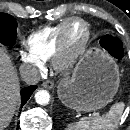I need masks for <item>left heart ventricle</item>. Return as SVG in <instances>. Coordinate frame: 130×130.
<instances>
[{"label": "left heart ventricle", "instance_id": "1", "mask_svg": "<svg viewBox=\"0 0 130 130\" xmlns=\"http://www.w3.org/2000/svg\"><path fill=\"white\" fill-rule=\"evenodd\" d=\"M85 32L82 24L75 22L69 31V40L72 46L77 47L80 45L84 38Z\"/></svg>", "mask_w": 130, "mask_h": 130}]
</instances>
